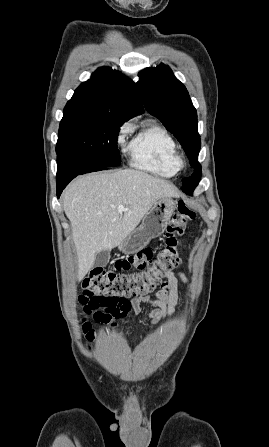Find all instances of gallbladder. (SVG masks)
I'll list each match as a JSON object with an SVG mask.
<instances>
[{
  "mask_svg": "<svg viewBox=\"0 0 269 447\" xmlns=\"http://www.w3.org/2000/svg\"><path fill=\"white\" fill-rule=\"evenodd\" d=\"M109 259H110L109 249H103V251H99V253H96L94 265L95 267H105Z\"/></svg>",
  "mask_w": 269,
  "mask_h": 447,
  "instance_id": "obj_1",
  "label": "gallbladder"
}]
</instances>
